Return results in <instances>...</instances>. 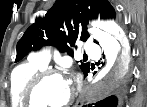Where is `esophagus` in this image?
Returning <instances> with one entry per match:
<instances>
[{
    "mask_svg": "<svg viewBox=\"0 0 147 107\" xmlns=\"http://www.w3.org/2000/svg\"><path fill=\"white\" fill-rule=\"evenodd\" d=\"M86 92V87L84 86L83 90H82V95L80 100L78 101V105H82V103L84 102V94Z\"/></svg>",
    "mask_w": 147,
    "mask_h": 107,
    "instance_id": "34e87169",
    "label": "esophagus"
}]
</instances>
